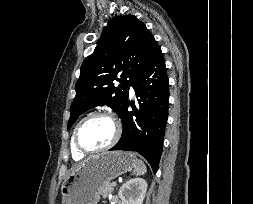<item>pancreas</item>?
<instances>
[{
    "instance_id": "pancreas-1",
    "label": "pancreas",
    "mask_w": 253,
    "mask_h": 204,
    "mask_svg": "<svg viewBox=\"0 0 253 204\" xmlns=\"http://www.w3.org/2000/svg\"><path fill=\"white\" fill-rule=\"evenodd\" d=\"M113 186H112V183H106L100 190V194L103 196V197H107L110 193L113 192Z\"/></svg>"
}]
</instances>
